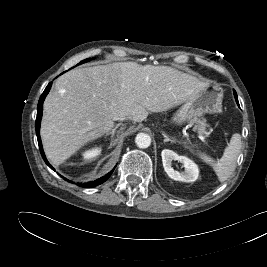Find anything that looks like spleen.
I'll list each match as a JSON object with an SVG mask.
<instances>
[{"label":"spleen","instance_id":"spleen-1","mask_svg":"<svg viewBox=\"0 0 267 267\" xmlns=\"http://www.w3.org/2000/svg\"><path fill=\"white\" fill-rule=\"evenodd\" d=\"M241 147V135L236 133L232 135L230 142L225 147L223 156L220 159L215 161L206 154H201L199 158L203 162L211 165L218 180L224 182L232 175L236 168V161L240 154Z\"/></svg>","mask_w":267,"mask_h":267}]
</instances>
